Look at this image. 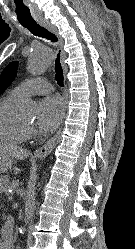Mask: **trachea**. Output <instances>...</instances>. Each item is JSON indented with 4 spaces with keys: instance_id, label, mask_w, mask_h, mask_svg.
Returning <instances> with one entry per match:
<instances>
[{
    "instance_id": "3493384b",
    "label": "trachea",
    "mask_w": 135,
    "mask_h": 249,
    "mask_svg": "<svg viewBox=\"0 0 135 249\" xmlns=\"http://www.w3.org/2000/svg\"><path fill=\"white\" fill-rule=\"evenodd\" d=\"M23 27L27 28L33 35L39 36L45 39L50 40L51 42H57L58 39L49 30H47L45 27H42L37 22H26L21 23ZM55 72H56V80L58 85L63 86V69L61 67L60 63V53L57 54V58L55 61Z\"/></svg>"
}]
</instances>
